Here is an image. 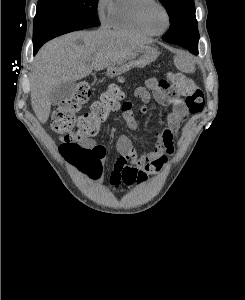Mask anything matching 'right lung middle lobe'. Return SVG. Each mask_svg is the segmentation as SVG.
<instances>
[{"label": "right lung middle lobe", "mask_w": 245, "mask_h": 300, "mask_svg": "<svg viewBox=\"0 0 245 300\" xmlns=\"http://www.w3.org/2000/svg\"><path fill=\"white\" fill-rule=\"evenodd\" d=\"M98 0H38L33 46L72 31L99 26Z\"/></svg>", "instance_id": "obj_1"}]
</instances>
